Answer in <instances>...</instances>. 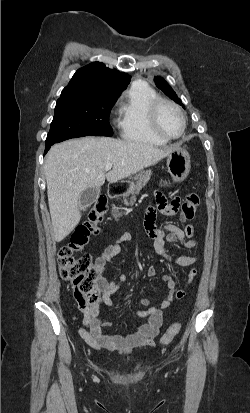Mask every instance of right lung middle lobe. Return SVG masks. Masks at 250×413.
I'll return each instance as SVG.
<instances>
[{
  "instance_id": "right-lung-middle-lobe-1",
  "label": "right lung middle lobe",
  "mask_w": 250,
  "mask_h": 413,
  "mask_svg": "<svg viewBox=\"0 0 250 413\" xmlns=\"http://www.w3.org/2000/svg\"><path fill=\"white\" fill-rule=\"evenodd\" d=\"M118 97V94L65 88L57 100L46 145L76 135L112 136L109 113Z\"/></svg>"
}]
</instances>
